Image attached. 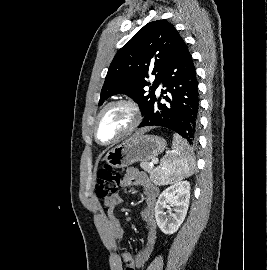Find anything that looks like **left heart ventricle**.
Segmentation results:
<instances>
[{"instance_id":"b2bd125f","label":"left heart ventricle","mask_w":267,"mask_h":270,"mask_svg":"<svg viewBox=\"0 0 267 270\" xmlns=\"http://www.w3.org/2000/svg\"><path fill=\"white\" fill-rule=\"evenodd\" d=\"M133 121L131 110L124 105L107 109L98 124V135L101 141L108 142L125 131Z\"/></svg>"}]
</instances>
